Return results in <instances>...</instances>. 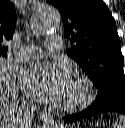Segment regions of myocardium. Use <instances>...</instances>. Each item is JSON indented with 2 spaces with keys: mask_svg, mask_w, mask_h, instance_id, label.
Masks as SVG:
<instances>
[{
  "mask_svg": "<svg viewBox=\"0 0 125 128\" xmlns=\"http://www.w3.org/2000/svg\"><path fill=\"white\" fill-rule=\"evenodd\" d=\"M73 87L77 95L67 98L64 102V108L67 111L74 112L88 106L96 95V89L87 77H79L73 82Z\"/></svg>",
  "mask_w": 125,
  "mask_h": 128,
  "instance_id": "obj_1",
  "label": "myocardium"
}]
</instances>
